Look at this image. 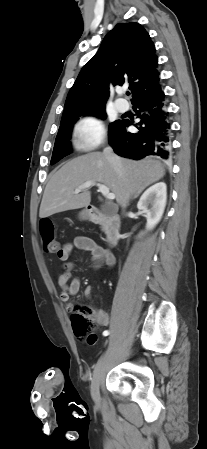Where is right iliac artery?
<instances>
[{
  "mask_svg": "<svg viewBox=\"0 0 207 449\" xmlns=\"http://www.w3.org/2000/svg\"><path fill=\"white\" fill-rule=\"evenodd\" d=\"M103 335H104V336H108V335H109V331H108V330H105V331L103 332Z\"/></svg>",
  "mask_w": 207,
  "mask_h": 449,
  "instance_id": "obj_1",
  "label": "right iliac artery"
}]
</instances>
